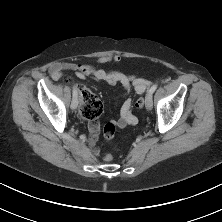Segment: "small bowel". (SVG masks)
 <instances>
[{
    "label": "small bowel",
    "instance_id": "small-bowel-1",
    "mask_svg": "<svg viewBox=\"0 0 222 222\" xmlns=\"http://www.w3.org/2000/svg\"><path fill=\"white\" fill-rule=\"evenodd\" d=\"M119 61L120 57L118 55L111 54L98 57L94 63H55L50 67L49 73L53 79L57 80L62 76L63 71L69 70L73 71L81 80L92 78L97 81L106 82L109 85L120 84L124 90L125 100L120 108V116L116 121L113 122V124L118 128H124L128 125H135L138 122L137 117L132 111V100L131 98L127 97L128 93L134 89L137 94H143L150 82L146 79L133 75H127L120 71H106L99 69L96 66L97 64H106ZM100 115L101 113L97 117H93L88 120L89 143L92 147H95L98 139L100 127L98 118ZM95 153L98 154V150L95 149Z\"/></svg>",
    "mask_w": 222,
    "mask_h": 222
}]
</instances>
